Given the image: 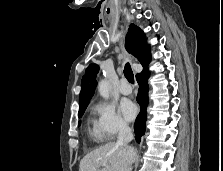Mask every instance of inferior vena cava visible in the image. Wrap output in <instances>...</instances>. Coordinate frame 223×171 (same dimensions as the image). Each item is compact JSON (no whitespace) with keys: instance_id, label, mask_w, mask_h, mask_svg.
Instances as JSON below:
<instances>
[{"instance_id":"obj_1","label":"inferior vena cava","mask_w":223,"mask_h":171,"mask_svg":"<svg viewBox=\"0 0 223 171\" xmlns=\"http://www.w3.org/2000/svg\"><path fill=\"white\" fill-rule=\"evenodd\" d=\"M132 139L133 134L131 128L127 124L121 123L119 125L117 145L123 146L125 148H131L130 146H128V144ZM126 171H132L131 164L126 167Z\"/></svg>"}]
</instances>
